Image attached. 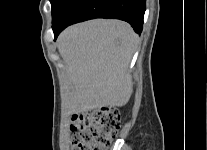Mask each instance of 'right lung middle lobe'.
<instances>
[{
    "label": "right lung middle lobe",
    "mask_w": 207,
    "mask_h": 150,
    "mask_svg": "<svg viewBox=\"0 0 207 150\" xmlns=\"http://www.w3.org/2000/svg\"><path fill=\"white\" fill-rule=\"evenodd\" d=\"M52 6V21L57 17L59 12L65 7L69 0H50Z\"/></svg>",
    "instance_id": "right-lung-middle-lobe-1"
}]
</instances>
